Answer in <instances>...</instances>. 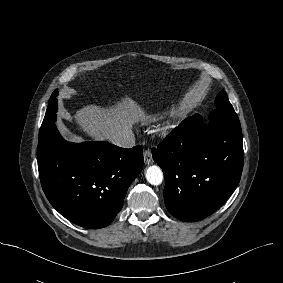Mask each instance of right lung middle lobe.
Listing matches in <instances>:
<instances>
[{"instance_id":"dd1d6c3e","label":"right lung middle lobe","mask_w":283,"mask_h":283,"mask_svg":"<svg viewBox=\"0 0 283 283\" xmlns=\"http://www.w3.org/2000/svg\"><path fill=\"white\" fill-rule=\"evenodd\" d=\"M57 95L58 91L53 92L48 102L46 114L39 132V142H42L46 138L49 131L55 126L54 122L56 120L55 113L57 111Z\"/></svg>"}]
</instances>
